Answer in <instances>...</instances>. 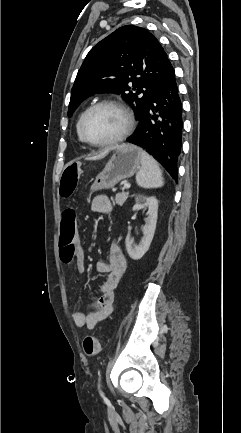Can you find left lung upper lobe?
<instances>
[{"instance_id": "left-lung-upper-lobe-1", "label": "left lung upper lobe", "mask_w": 241, "mask_h": 433, "mask_svg": "<svg viewBox=\"0 0 241 433\" xmlns=\"http://www.w3.org/2000/svg\"><path fill=\"white\" fill-rule=\"evenodd\" d=\"M170 65L154 35L141 27H120L87 54L71 91L68 116L95 93H116L139 120Z\"/></svg>"}]
</instances>
